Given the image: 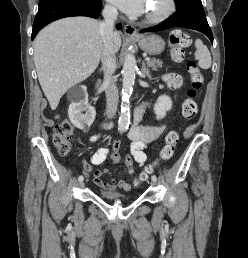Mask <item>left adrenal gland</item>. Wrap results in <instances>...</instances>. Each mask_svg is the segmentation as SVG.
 I'll return each instance as SVG.
<instances>
[{
    "instance_id": "a2214340",
    "label": "left adrenal gland",
    "mask_w": 248,
    "mask_h": 258,
    "mask_svg": "<svg viewBox=\"0 0 248 258\" xmlns=\"http://www.w3.org/2000/svg\"><path fill=\"white\" fill-rule=\"evenodd\" d=\"M142 72L145 74V75H147V76H149L150 77V71H149V69L146 67V64H145V61H142Z\"/></svg>"
}]
</instances>
